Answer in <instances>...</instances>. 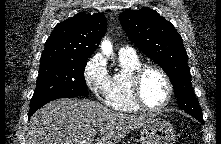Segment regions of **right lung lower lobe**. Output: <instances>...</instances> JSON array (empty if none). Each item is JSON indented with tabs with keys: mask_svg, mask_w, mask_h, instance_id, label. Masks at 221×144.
Instances as JSON below:
<instances>
[{
	"mask_svg": "<svg viewBox=\"0 0 221 144\" xmlns=\"http://www.w3.org/2000/svg\"><path fill=\"white\" fill-rule=\"evenodd\" d=\"M65 97H67V98H72V97H76V96H65ZM62 98H64V97H62ZM34 112H35V111H29V113H28V119L33 115Z\"/></svg>",
	"mask_w": 221,
	"mask_h": 144,
	"instance_id": "obj_1",
	"label": "right lung lower lobe"
}]
</instances>
